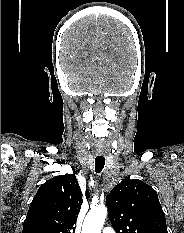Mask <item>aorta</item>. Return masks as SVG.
Masks as SVG:
<instances>
[{
  "label": "aorta",
  "instance_id": "aorta-1",
  "mask_svg": "<svg viewBox=\"0 0 184 233\" xmlns=\"http://www.w3.org/2000/svg\"><path fill=\"white\" fill-rule=\"evenodd\" d=\"M106 216L107 208L103 205L91 209L84 220L82 233H101Z\"/></svg>",
  "mask_w": 184,
  "mask_h": 233
}]
</instances>
